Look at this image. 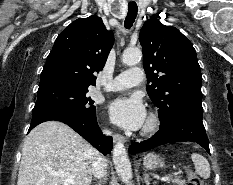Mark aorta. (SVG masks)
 I'll use <instances>...</instances> for the list:
<instances>
[{"mask_svg":"<svg viewBox=\"0 0 233 185\" xmlns=\"http://www.w3.org/2000/svg\"><path fill=\"white\" fill-rule=\"evenodd\" d=\"M141 58L142 51L139 48H128L123 52L122 62L132 66L140 62ZM112 153L118 176L125 184L131 183L132 168L124 144L121 142L116 143Z\"/></svg>","mask_w":233,"mask_h":185,"instance_id":"1","label":"aorta"}]
</instances>
